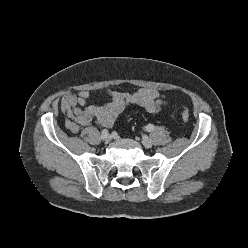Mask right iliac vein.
<instances>
[{
    "instance_id": "63e3f726",
    "label": "right iliac vein",
    "mask_w": 248,
    "mask_h": 248,
    "mask_svg": "<svg viewBox=\"0 0 248 248\" xmlns=\"http://www.w3.org/2000/svg\"><path fill=\"white\" fill-rule=\"evenodd\" d=\"M110 141H111V136H110V135H107V136L103 139V142H104L105 144H108Z\"/></svg>"
}]
</instances>
